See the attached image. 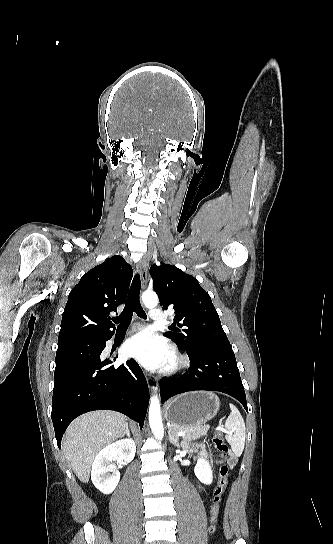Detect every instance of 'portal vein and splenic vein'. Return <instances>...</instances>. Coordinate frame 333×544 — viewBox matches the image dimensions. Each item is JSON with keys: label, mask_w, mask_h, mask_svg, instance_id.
Returning a JSON list of instances; mask_svg holds the SVG:
<instances>
[{"label": "portal vein and splenic vein", "mask_w": 333, "mask_h": 544, "mask_svg": "<svg viewBox=\"0 0 333 544\" xmlns=\"http://www.w3.org/2000/svg\"><path fill=\"white\" fill-rule=\"evenodd\" d=\"M219 430H221V431H223V432H226V433H229V432H227V431L224 430V429H219ZM177 434H178V436H183L185 433L181 431V432H178Z\"/></svg>", "instance_id": "obj_1"}]
</instances>
